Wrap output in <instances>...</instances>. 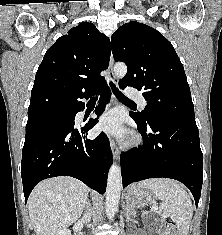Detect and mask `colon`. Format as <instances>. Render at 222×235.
Here are the masks:
<instances>
[{"instance_id":"5ec220e1","label":"colon","mask_w":222,"mask_h":235,"mask_svg":"<svg viewBox=\"0 0 222 235\" xmlns=\"http://www.w3.org/2000/svg\"><path fill=\"white\" fill-rule=\"evenodd\" d=\"M161 235H180V233L178 232L175 223L169 220L163 225Z\"/></svg>"}]
</instances>
